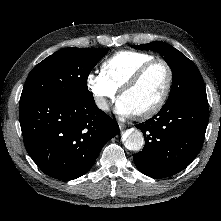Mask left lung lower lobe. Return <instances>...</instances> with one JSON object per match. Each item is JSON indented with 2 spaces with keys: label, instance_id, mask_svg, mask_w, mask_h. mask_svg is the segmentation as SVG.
<instances>
[{
  "label": "left lung lower lobe",
  "instance_id": "obj_1",
  "mask_svg": "<svg viewBox=\"0 0 221 221\" xmlns=\"http://www.w3.org/2000/svg\"><path fill=\"white\" fill-rule=\"evenodd\" d=\"M208 119L207 96L168 100L154 117L136 125L145 137L143 150L134 155L138 170L152 178L183 170L202 148Z\"/></svg>",
  "mask_w": 221,
  "mask_h": 221
}]
</instances>
